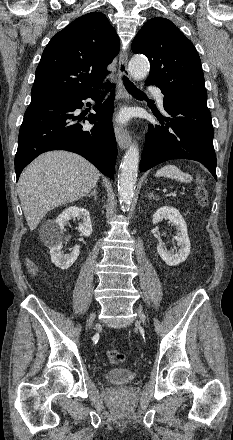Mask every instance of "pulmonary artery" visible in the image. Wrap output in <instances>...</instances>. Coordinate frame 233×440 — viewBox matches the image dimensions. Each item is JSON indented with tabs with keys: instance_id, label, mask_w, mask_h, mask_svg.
<instances>
[{
	"instance_id": "obj_1",
	"label": "pulmonary artery",
	"mask_w": 233,
	"mask_h": 440,
	"mask_svg": "<svg viewBox=\"0 0 233 440\" xmlns=\"http://www.w3.org/2000/svg\"><path fill=\"white\" fill-rule=\"evenodd\" d=\"M148 90L155 95L159 105L161 107H163V94H162L161 90L159 88H157V87H154V86L148 87Z\"/></svg>"
}]
</instances>
